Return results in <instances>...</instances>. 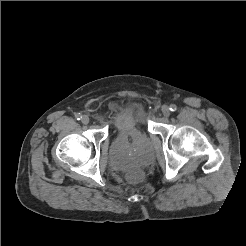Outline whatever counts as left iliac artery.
Returning a JSON list of instances; mask_svg holds the SVG:
<instances>
[{
	"label": "left iliac artery",
	"mask_w": 246,
	"mask_h": 246,
	"mask_svg": "<svg viewBox=\"0 0 246 246\" xmlns=\"http://www.w3.org/2000/svg\"><path fill=\"white\" fill-rule=\"evenodd\" d=\"M170 111L174 112L177 109V106L175 104L170 105Z\"/></svg>",
	"instance_id": "1"
}]
</instances>
